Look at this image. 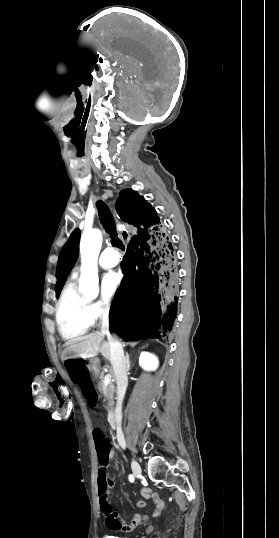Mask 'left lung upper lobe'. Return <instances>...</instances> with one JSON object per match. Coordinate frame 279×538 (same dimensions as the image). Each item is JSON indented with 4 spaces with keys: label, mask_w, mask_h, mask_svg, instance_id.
I'll list each match as a JSON object with an SVG mask.
<instances>
[{
    "label": "left lung upper lobe",
    "mask_w": 279,
    "mask_h": 538,
    "mask_svg": "<svg viewBox=\"0 0 279 538\" xmlns=\"http://www.w3.org/2000/svg\"><path fill=\"white\" fill-rule=\"evenodd\" d=\"M79 240L80 230L75 229L71 234L68 242L64 245L60 252L59 260L57 263V284H56V296L58 297L63 285L66 281L67 275L73 268L79 252Z\"/></svg>",
    "instance_id": "5c2ea615"
}]
</instances>
